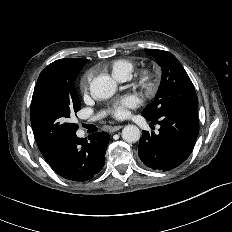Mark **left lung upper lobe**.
Segmentation results:
<instances>
[{
    "instance_id": "left-lung-upper-lobe-1",
    "label": "left lung upper lobe",
    "mask_w": 232,
    "mask_h": 232,
    "mask_svg": "<svg viewBox=\"0 0 232 232\" xmlns=\"http://www.w3.org/2000/svg\"><path fill=\"white\" fill-rule=\"evenodd\" d=\"M162 68V78L154 102L143 110V116L157 119L180 106L197 109L195 88L177 58L164 50L146 49Z\"/></svg>"
}]
</instances>
